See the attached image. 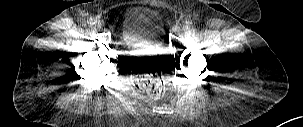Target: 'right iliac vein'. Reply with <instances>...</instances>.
I'll return each instance as SVG.
<instances>
[{
  "mask_svg": "<svg viewBox=\"0 0 303 127\" xmlns=\"http://www.w3.org/2000/svg\"><path fill=\"white\" fill-rule=\"evenodd\" d=\"M95 25H96L98 28H101V27L104 25V23H103V21H101V20H97L96 23H95Z\"/></svg>",
  "mask_w": 303,
  "mask_h": 127,
  "instance_id": "63e3f726",
  "label": "right iliac vein"
}]
</instances>
